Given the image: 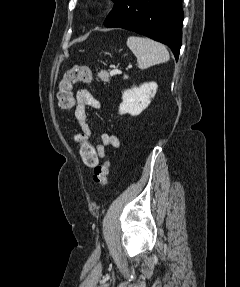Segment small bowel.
<instances>
[{
  "mask_svg": "<svg viewBox=\"0 0 240 287\" xmlns=\"http://www.w3.org/2000/svg\"><path fill=\"white\" fill-rule=\"evenodd\" d=\"M100 103L97 98L86 89H79L76 93V106L74 109V119L78 124L82 133L88 137L91 135V126L87 121V110L88 108L98 109ZM108 147L119 148V138L108 132H103L101 136V142L96 145L97 154L100 159L106 157V149Z\"/></svg>",
  "mask_w": 240,
  "mask_h": 287,
  "instance_id": "obj_1",
  "label": "small bowel"
}]
</instances>
